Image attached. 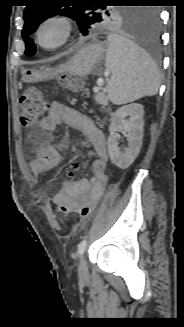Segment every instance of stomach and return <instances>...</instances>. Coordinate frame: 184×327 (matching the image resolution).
Masks as SVG:
<instances>
[{
    "mask_svg": "<svg viewBox=\"0 0 184 327\" xmlns=\"http://www.w3.org/2000/svg\"><path fill=\"white\" fill-rule=\"evenodd\" d=\"M105 46L96 42L80 48L66 63L52 69L39 71L32 68L21 70V79L26 83L53 79L60 73L72 76L86 77L90 74H99L104 57Z\"/></svg>",
    "mask_w": 184,
    "mask_h": 327,
    "instance_id": "stomach-1",
    "label": "stomach"
}]
</instances>
